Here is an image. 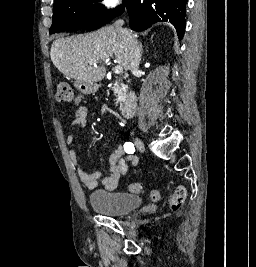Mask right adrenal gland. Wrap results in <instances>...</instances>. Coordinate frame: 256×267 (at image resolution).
Here are the masks:
<instances>
[{
    "instance_id": "obj_1",
    "label": "right adrenal gland",
    "mask_w": 256,
    "mask_h": 267,
    "mask_svg": "<svg viewBox=\"0 0 256 267\" xmlns=\"http://www.w3.org/2000/svg\"><path fill=\"white\" fill-rule=\"evenodd\" d=\"M139 48H140V52H141V54H143L144 50H143V46H142V44H139Z\"/></svg>"
}]
</instances>
